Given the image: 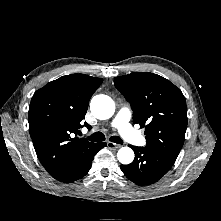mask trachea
Returning a JSON list of instances; mask_svg holds the SVG:
<instances>
[{
	"label": "trachea",
	"instance_id": "obj_1",
	"mask_svg": "<svg viewBox=\"0 0 221 221\" xmlns=\"http://www.w3.org/2000/svg\"><path fill=\"white\" fill-rule=\"evenodd\" d=\"M89 139L93 142H101L105 140V136L101 132H96L92 134ZM111 142L117 143V144H123V140L118 136H111L109 139Z\"/></svg>",
	"mask_w": 221,
	"mask_h": 221
}]
</instances>
